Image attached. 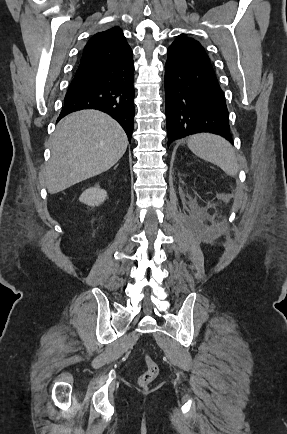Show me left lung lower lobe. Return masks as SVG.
Segmentation results:
<instances>
[{
  "label": "left lung lower lobe",
  "instance_id": "1",
  "mask_svg": "<svg viewBox=\"0 0 287 434\" xmlns=\"http://www.w3.org/2000/svg\"><path fill=\"white\" fill-rule=\"evenodd\" d=\"M165 110L168 146L200 132L233 142L224 93L211 64L168 54Z\"/></svg>",
  "mask_w": 287,
  "mask_h": 434
}]
</instances>
